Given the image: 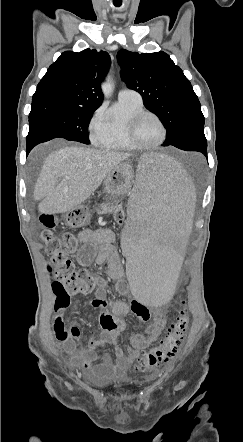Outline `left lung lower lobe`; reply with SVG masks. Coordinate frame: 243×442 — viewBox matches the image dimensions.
<instances>
[{
  "label": "left lung lower lobe",
  "mask_w": 243,
  "mask_h": 442,
  "mask_svg": "<svg viewBox=\"0 0 243 442\" xmlns=\"http://www.w3.org/2000/svg\"><path fill=\"white\" fill-rule=\"evenodd\" d=\"M203 126L200 125L191 129L171 145L186 151H199L207 157V142Z\"/></svg>",
  "instance_id": "0a47b994"
}]
</instances>
